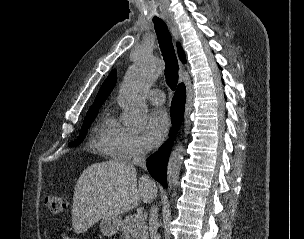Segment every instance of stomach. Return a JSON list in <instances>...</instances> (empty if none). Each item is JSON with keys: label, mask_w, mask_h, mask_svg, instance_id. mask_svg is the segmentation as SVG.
<instances>
[{"label": "stomach", "mask_w": 304, "mask_h": 239, "mask_svg": "<svg viewBox=\"0 0 304 239\" xmlns=\"http://www.w3.org/2000/svg\"><path fill=\"white\" fill-rule=\"evenodd\" d=\"M121 223L119 216L104 217L100 222V231L104 236H114L118 232Z\"/></svg>", "instance_id": "1"}]
</instances>
